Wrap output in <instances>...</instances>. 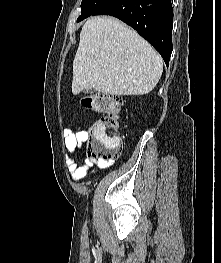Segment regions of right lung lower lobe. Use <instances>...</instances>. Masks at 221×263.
I'll list each match as a JSON object with an SVG mask.
<instances>
[{"label": "right lung lower lobe", "instance_id": "1", "mask_svg": "<svg viewBox=\"0 0 221 263\" xmlns=\"http://www.w3.org/2000/svg\"><path fill=\"white\" fill-rule=\"evenodd\" d=\"M93 15H111L130 25L169 65L173 49L171 0H107Z\"/></svg>", "mask_w": 221, "mask_h": 263}]
</instances>
